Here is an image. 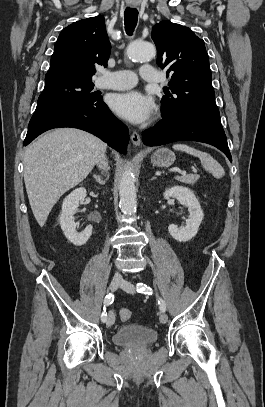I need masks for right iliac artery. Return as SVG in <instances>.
Instances as JSON below:
<instances>
[{"label": "right iliac artery", "mask_w": 265, "mask_h": 407, "mask_svg": "<svg viewBox=\"0 0 265 407\" xmlns=\"http://www.w3.org/2000/svg\"><path fill=\"white\" fill-rule=\"evenodd\" d=\"M113 300H114V295L112 293H109L108 295H106V297L104 299V308H103L104 311L101 314L102 322H106V320H107L106 306H109L110 304H112Z\"/></svg>", "instance_id": "82829eb1"}]
</instances>
